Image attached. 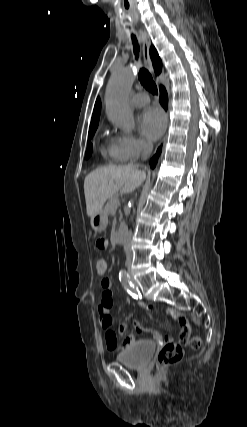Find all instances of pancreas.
<instances>
[{
	"mask_svg": "<svg viewBox=\"0 0 247 427\" xmlns=\"http://www.w3.org/2000/svg\"><path fill=\"white\" fill-rule=\"evenodd\" d=\"M118 206H119V200L116 197L109 198V200H108V202L104 208L105 214L114 215Z\"/></svg>",
	"mask_w": 247,
	"mask_h": 427,
	"instance_id": "1",
	"label": "pancreas"
}]
</instances>
